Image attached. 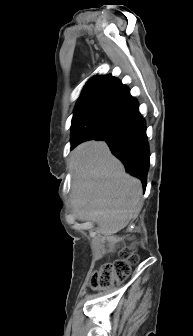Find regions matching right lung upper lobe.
<instances>
[{
  "instance_id": "cb5924a9",
  "label": "right lung upper lobe",
  "mask_w": 193,
  "mask_h": 336,
  "mask_svg": "<svg viewBox=\"0 0 193 336\" xmlns=\"http://www.w3.org/2000/svg\"><path fill=\"white\" fill-rule=\"evenodd\" d=\"M127 91L128 88L111 75L92 78L85 85L77 102L72 126L79 125L81 121L92 120L104 110L114 108ZM86 140L80 135L71 136L72 143Z\"/></svg>"
}]
</instances>
